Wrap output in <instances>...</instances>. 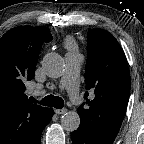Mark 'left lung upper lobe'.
<instances>
[{
    "label": "left lung upper lobe",
    "instance_id": "left-lung-upper-lobe-1",
    "mask_svg": "<svg viewBox=\"0 0 144 144\" xmlns=\"http://www.w3.org/2000/svg\"><path fill=\"white\" fill-rule=\"evenodd\" d=\"M85 83L95 96L87 99L86 91L87 105L77 109L80 125L97 136L115 139L126 112L131 80L121 46L105 30L88 31Z\"/></svg>",
    "mask_w": 144,
    "mask_h": 144
}]
</instances>
